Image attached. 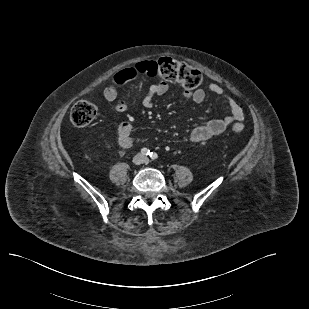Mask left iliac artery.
<instances>
[{
  "label": "left iliac artery",
  "mask_w": 309,
  "mask_h": 309,
  "mask_svg": "<svg viewBox=\"0 0 309 309\" xmlns=\"http://www.w3.org/2000/svg\"><path fill=\"white\" fill-rule=\"evenodd\" d=\"M150 157H151L152 160H156L158 158V155L155 152H151Z\"/></svg>",
  "instance_id": "44dca946"
}]
</instances>
